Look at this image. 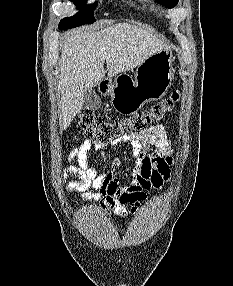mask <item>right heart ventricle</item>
<instances>
[{"label":"right heart ventricle","mask_w":233,"mask_h":286,"mask_svg":"<svg viewBox=\"0 0 233 286\" xmlns=\"http://www.w3.org/2000/svg\"><path fill=\"white\" fill-rule=\"evenodd\" d=\"M142 6L150 11H154L156 9L155 5L149 0H139Z\"/></svg>","instance_id":"obj_1"}]
</instances>
